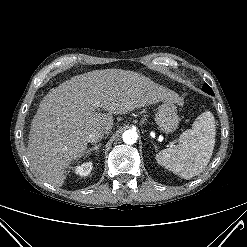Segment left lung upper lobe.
<instances>
[{
	"mask_svg": "<svg viewBox=\"0 0 247 247\" xmlns=\"http://www.w3.org/2000/svg\"><path fill=\"white\" fill-rule=\"evenodd\" d=\"M202 90H203L204 92L208 93V94L214 95V93H213L211 87H210L209 85H207V84H204Z\"/></svg>",
	"mask_w": 247,
	"mask_h": 247,
	"instance_id": "obj_1",
	"label": "left lung upper lobe"
}]
</instances>
